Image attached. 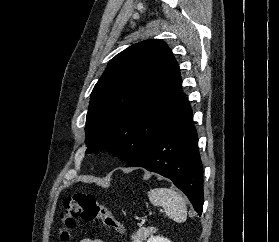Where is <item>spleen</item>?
I'll return each instance as SVG.
<instances>
[{"label":"spleen","mask_w":279,"mask_h":242,"mask_svg":"<svg viewBox=\"0 0 279 242\" xmlns=\"http://www.w3.org/2000/svg\"><path fill=\"white\" fill-rule=\"evenodd\" d=\"M150 202L155 206H162L166 215L176 222L187 219V207L182 195L174 189L155 188L148 192Z\"/></svg>","instance_id":"3e777b00"}]
</instances>
